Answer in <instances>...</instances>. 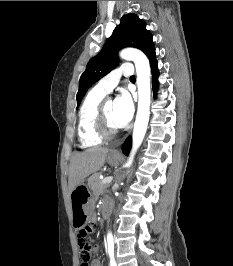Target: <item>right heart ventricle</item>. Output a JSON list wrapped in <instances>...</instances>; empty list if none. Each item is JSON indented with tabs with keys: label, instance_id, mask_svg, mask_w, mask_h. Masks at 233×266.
Instances as JSON below:
<instances>
[{
	"label": "right heart ventricle",
	"instance_id": "1",
	"mask_svg": "<svg viewBox=\"0 0 233 266\" xmlns=\"http://www.w3.org/2000/svg\"><path fill=\"white\" fill-rule=\"evenodd\" d=\"M105 93L95 87L85 96L78 114V136L81 145L85 148L98 146L103 142L94 127L96 109L105 97Z\"/></svg>",
	"mask_w": 233,
	"mask_h": 266
}]
</instances>
